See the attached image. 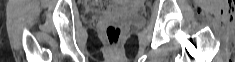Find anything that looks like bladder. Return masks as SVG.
<instances>
[{
  "instance_id": "1",
  "label": "bladder",
  "mask_w": 235,
  "mask_h": 62,
  "mask_svg": "<svg viewBox=\"0 0 235 62\" xmlns=\"http://www.w3.org/2000/svg\"><path fill=\"white\" fill-rule=\"evenodd\" d=\"M118 14L121 18L130 22L131 24H140L143 20L142 15L138 12V10L129 4H122L119 7Z\"/></svg>"
}]
</instances>
